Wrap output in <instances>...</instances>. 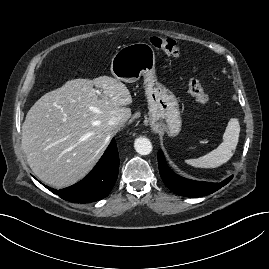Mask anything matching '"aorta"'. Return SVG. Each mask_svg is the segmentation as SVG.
I'll return each instance as SVG.
<instances>
[{
  "instance_id": "aorta-1",
  "label": "aorta",
  "mask_w": 269,
  "mask_h": 269,
  "mask_svg": "<svg viewBox=\"0 0 269 269\" xmlns=\"http://www.w3.org/2000/svg\"><path fill=\"white\" fill-rule=\"evenodd\" d=\"M134 148L140 155H148L152 151V144L146 137H139L135 139Z\"/></svg>"
}]
</instances>
